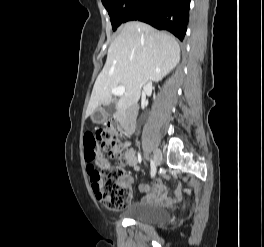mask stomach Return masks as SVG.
Returning a JSON list of instances; mask_svg holds the SVG:
<instances>
[{"instance_id": "obj_1", "label": "stomach", "mask_w": 264, "mask_h": 247, "mask_svg": "<svg viewBox=\"0 0 264 247\" xmlns=\"http://www.w3.org/2000/svg\"><path fill=\"white\" fill-rule=\"evenodd\" d=\"M97 116L95 117V122L98 123V122H101L104 120L105 118V112L102 108H97L93 113L92 115H96Z\"/></svg>"}]
</instances>
